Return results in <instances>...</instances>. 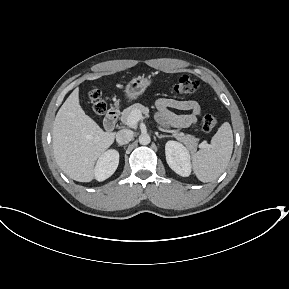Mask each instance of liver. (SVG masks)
Returning <instances> with one entry per match:
<instances>
[{"mask_svg":"<svg viewBox=\"0 0 289 289\" xmlns=\"http://www.w3.org/2000/svg\"><path fill=\"white\" fill-rule=\"evenodd\" d=\"M101 75L89 77V80ZM114 132H104L85 114L75 88L60 107L53 124V152L60 169L71 179L90 182L96 160L114 142Z\"/></svg>","mask_w":289,"mask_h":289,"instance_id":"obj_1","label":"liver"}]
</instances>
